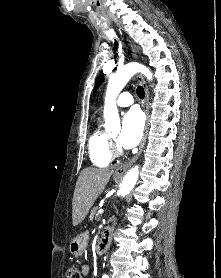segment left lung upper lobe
I'll list each match as a JSON object with an SVG mask.
<instances>
[{"label": "left lung upper lobe", "instance_id": "5c2ea615", "mask_svg": "<svg viewBox=\"0 0 221 278\" xmlns=\"http://www.w3.org/2000/svg\"><path fill=\"white\" fill-rule=\"evenodd\" d=\"M102 79H103V74H100L97 81H96V84H95V87H94V92L98 89L100 83L102 82Z\"/></svg>", "mask_w": 221, "mask_h": 278}]
</instances>
